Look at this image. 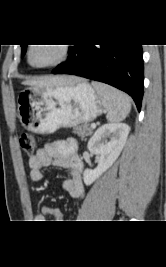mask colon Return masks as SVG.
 I'll use <instances>...</instances> for the list:
<instances>
[{
    "instance_id": "colon-1",
    "label": "colon",
    "mask_w": 166,
    "mask_h": 267,
    "mask_svg": "<svg viewBox=\"0 0 166 267\" xmlns=\"http://www.w3.org/2000/svg\"><path fill=\"white\" fill-rule=\"evenodd\" d=\"M19 144L22 151L28 156H32L37 147V141L35 137L29 133H23L20 136Z\"/></svg>"
}]
</instances>
